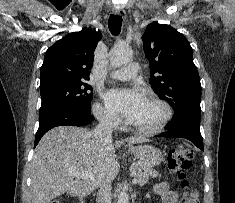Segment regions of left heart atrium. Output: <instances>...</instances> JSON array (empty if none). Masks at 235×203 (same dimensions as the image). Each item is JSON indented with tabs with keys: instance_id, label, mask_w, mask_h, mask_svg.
<instances>
[{
	"instance_id": "39dd6f15",
	"label": "left heart atrium",
	"mask_w": 235,
	"mask_h": 203,
	"mask_svg": "<svg viewBox=\"0 0 235 203\" xmlns=\"http://www.w3.org/2000/svg\"><path fill=\"white\" fill-rule=\"evenodd\" d=\"M104 101L112 112L131 121L147 100L137 88H117L108 90L104 94Z\"/></svg>"
}]
</instances>
